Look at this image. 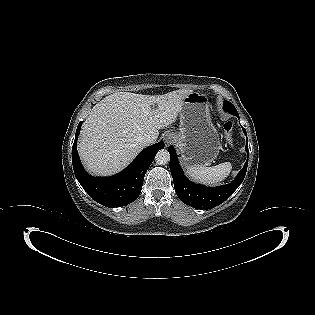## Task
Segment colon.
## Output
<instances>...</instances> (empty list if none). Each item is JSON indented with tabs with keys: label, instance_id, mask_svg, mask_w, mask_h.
Listing matches in <instances>:
<instances>
[{
	"label": "colon",
	"instance_id": "5ec220e1",
	"mask_svg": "<svg viewBox=\"0 0 315 315\" xmlns=\"http://www.w3.org/2000/svg\"><path fill=\"white\" fill-rule=\"evenodd\" d=\"M222 130L224 132L225 138L229 144H232V131H233V125L230 121H225L222 124Z\"/></svg>",
	"mask_w": 315,
	"mask_h": 315
}]
</instances>
